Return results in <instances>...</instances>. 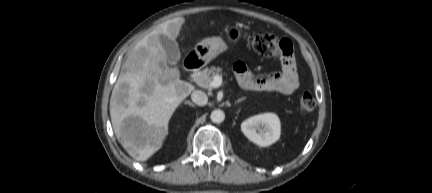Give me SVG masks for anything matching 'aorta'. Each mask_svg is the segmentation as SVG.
<instances>
[{
    "label": "aorta",
    "instance_id": "aorta-1",
    "mask_svg": "<svg viewBox=\"0 0 432 193\" xmlns=\"http://www.w3.org/2000/svg\"><path fill=\"white\" fill-rule=\"evenodd\" d=\"M210 119L214 123H222L225 119V113L220 109H215L211 112Z\"/></svg>",
    "mask_w": 432,
    "mask_h": 193
}]
</instances>
